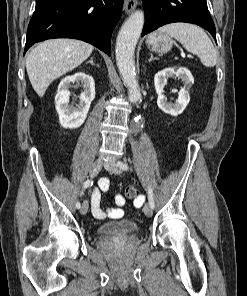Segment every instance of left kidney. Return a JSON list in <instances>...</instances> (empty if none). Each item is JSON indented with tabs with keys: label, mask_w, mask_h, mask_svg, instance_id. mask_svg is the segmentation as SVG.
Returning a JSON list of instances; mask_svg holds the SVG:
<instances>
[{
	"label": "left kidney",
	"mask_w": 247,
	"mask_h": 296,
	"mask_svg": "<svg viewBox=\"0 0 247 296\" xmlns=\"http://www.w3.org/2000/svg\"><path fill=\"white\" fill-rule=\"evenodd\" d=\"M177 77L182 79L184 87L179 91L178 99L174 104L168 103L167 98L162 94L163 88L168 81V78ZM194 84V78L191 72L180 67L178 69L166 68L158 72L154 77V85L158 94L157 105L166 114L177 116L181 114L190 101L189 89Z\"/></svg>",
	"instance_id": "left-kidney-1"
}]
</instances>
